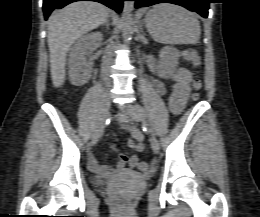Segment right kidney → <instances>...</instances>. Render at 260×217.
<instances>
[{"label": "right kidney", "instance_id": "1", "mask_svg": "<svg viewBox=\"0 0 260 217\" xmlns=\"http://www.w3.org/2000/svg\"><path fill=\"white\" fill-rule=\"evenodd\" d=\"M102 40L100 32L80 37L72 47L68 60L70 82L82 86L88 82L92 72V61L87 58L94 45Z\"/></svg>", "mask_w": 260, "mask_h": 217}]
</instances>
